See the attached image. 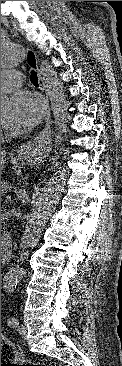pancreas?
I'll return each mask as SVG.
<instances>
[{"instance_id": "pancreas-1", "label": "pancreas", "mask_w": 122, "mask_h": 366, "mask_svg": "<svg viewBox=\"0 0 122 366\" xmlns=\"http://www.w3.org/2000/svg\"><path fill=\"white\" fill-rule=\"evenodd\" d=\"M8 189H9V183L1 182V196H3Z\"/></svg>"}]
</instances>
